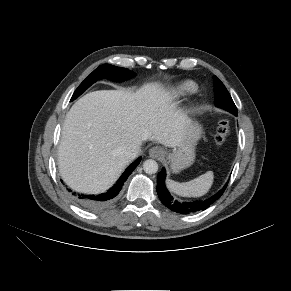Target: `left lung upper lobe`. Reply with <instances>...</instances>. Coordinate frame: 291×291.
Returning <instances> with one entry per match:
<instances>
[{
    "instance_id": "1",
    "label": "left lung upper lobe",
    "mask_w": 291,
    "mask_h": 291,
    "mask_svg": "<svg viewBox=\"0 0 291 291\" xmlns=\"http://www.w3.org/2000/svg\"><path fill=\"white\" fill-rule=\"evenodd\" d=\"M214 103L217 107L237 114V108L224 84L214 76Z\"/></svg>"
}]
</instances>
